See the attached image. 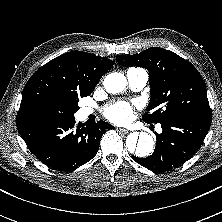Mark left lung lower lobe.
<instances>
[{
  "label": "left lung lower lobe",
  "mask_w": 222,
  "mask_h": 222,
  "mask_svg": "<svg viewBox=\"0 0 222 222\" xmlns=\"http://www.w3.org/2000/svg\"><path fill=\"white\" fill-rule=\"evenodd\" d=\"M212 117L179 115L162 121L163 132L156 135V148L147 158L132 159L157 173L181 166L201 147L211 125Z\"/></svg>",
  "instance_id": "obj_1"
}]
</instances>
